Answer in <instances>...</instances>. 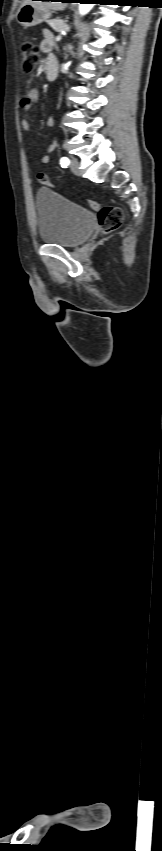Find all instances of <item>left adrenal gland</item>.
Returning <instances> with one entry per match:
<instances>
[{"label":"left adrenal gland","instance_id":"left-adrenal-gland-1","mask_svg":"<svg viewBox=\"0 0 162 851\" xmlns=\"http://www.w3.org/2000/svg\"><path fill=\"white\" fill-rule=\"evenodd\" d=\"M66 50L69 51V52H73V47L71 45H68Z\"/></svg>","mask_w":162,"mask_h":851}]
</instances>
